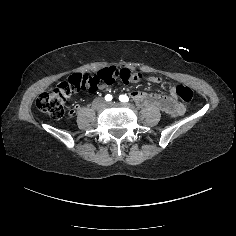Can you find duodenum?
<instances>
[{
	"instance_id": "410a0bca",
	"label": "duodenum",
	"mask_w": 236,
	"mask_h": 236,
	"mask_svg": "<svg viewBox=\"0 0 236 236\" xmlns=\"http://www.w3.org/2000/svg\"><path fill=\"white\" fill-rule=\"evenodd\" d=\"M135 101L140 106L156 103L163 111L169 114H177L183 110V106L171 97H157L152 95L137 94L135 96Z\"/></svg>"
}]
</instances>
